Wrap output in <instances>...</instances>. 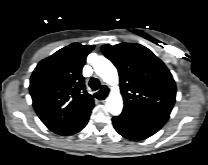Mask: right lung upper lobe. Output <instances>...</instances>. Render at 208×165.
<instances>
[{
	"label": "right lung upper lobe",
	"mask_w": 208,
	"mask_h": 165,
	"mask_svg": "<svg viewBox=\"0 0 208 165\" xmlns=\"http://www.w3.org/2000/svg\"><path fill=\"white\" fill-rule=\"evenodd\" d=\"M93 45L72 43L40 61L30 79L33 106L52 132L72 135L88 122L94 106L82 69Z\"/></svg>",
	"instance_id": "obj_1"
}]
</instances>
